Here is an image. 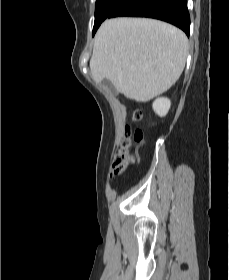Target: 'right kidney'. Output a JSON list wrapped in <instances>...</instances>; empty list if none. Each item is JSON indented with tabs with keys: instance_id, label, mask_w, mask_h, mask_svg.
<instances>
[{
	"instance_id": "ca27d5eb",
	"label": "right kidney",
	"mask_w": 229,
	"mask_h": 280,
	"mask_svg": "<svg viewBox=\"0 0 229 280\" xmlns=\"http://www.w3.org/2000/svg\"><path fill=\"white\" fill-rule=\"evenodd\" d=\"M171 106V102L168 98H158L153 103V110L156 114H158L160 117L165 116Z\"/></svg>"
}]
</instances>
